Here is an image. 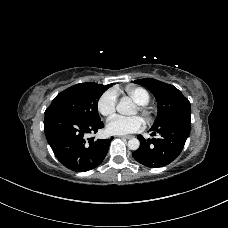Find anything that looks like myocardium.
Listing matches in <instances>:
<instances>
[{
	"label": "myocardium",
	"instance_id": "f54148a6",
	"mask_svg": "<svg viewBox=\"0 0 228 228\" xmlns=\"http://www.w3.org/2000/svg\"><path fill=\"white\" fill-rule=\"evenodd\" d=\"M138 110L143 114L144 117L147 119L150 118V112L144 106L139 105Z\"/></svg>",
	"mask_w": 228,
	"mask_h": 228
}]
</instances>
